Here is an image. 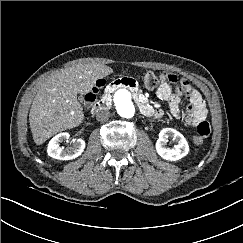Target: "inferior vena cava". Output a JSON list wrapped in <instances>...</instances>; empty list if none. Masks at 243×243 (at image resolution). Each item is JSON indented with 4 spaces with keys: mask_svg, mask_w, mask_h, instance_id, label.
Returning a JSON list of instances; mask_svg holds the SVG:
<instances>
[{
    "mask_svg": "<svg viewBox=\"0 0 243 243\" xmlns=\"http://www.w3.org/2000/svg\"><path fill=\"white\" fill-rule=\"evenodd\" d=\"M109 117H110V112L106 109H102L98 111L96 114V119L99 122H105L109 119Z\"/></svg>",
    "mask_w": 243,
    "mask_h": 243,
    "instance_id": "602c4592",
    "label": "inferior vena cava"
}]
</instances>
